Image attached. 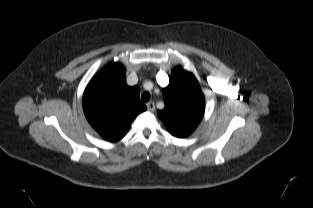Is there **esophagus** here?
Segmentation results:
<instances>
[{"instance_id":"esophagus-1","label":"esophagus","mask_w":313,"mask_h":208,"mask_svg":"<svg viewBox=\"0 0 313 208\" xmlns=\"http://www.w3.org/2000/svg\"><path fill=\"white\" fill-rule=\"evenodd\" d=\"M146 106H147V109H148L149 111H154V110H155V103H154L153 101L148 102V103L146 104Z\"/></svg>"}]
</instances>
